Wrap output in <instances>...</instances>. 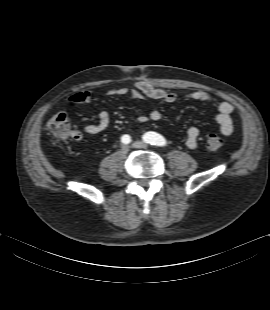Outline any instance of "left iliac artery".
Returning <instances> with one entry per match:
<instances>
[{"label":"left iliac artery","mask_w":270,"mask_h":310,"mask_svg":"<svg viewBox=\"0 0 270 310\" xmlns=\"http://www.w3.org/2000/svg\"><path fill=\"white\" fill-rule=\"evenodd\" d=\"M142 138L146 143L155 146H165L167 143L165 138L156 132H147Z\"/></svg>","instance_id":"obj_1"}]
</instances>
